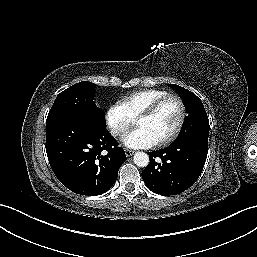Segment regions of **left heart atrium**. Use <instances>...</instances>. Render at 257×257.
<instances>
[{
	"instance_id": "obj_1",
	"label": "left heart atrium",
	"mask_w": 257,
	"mask_h": 257,
	"mask_svg": "<svg viewBox=\"0 0 257 257\" xmlns=\"http://www.w3.org/2000/svg\"><path fill=\"white\" fill-rule=\"evenodd\" d=\"M123 143L129 148H150L157 144L156 139L144 128H137L123 138Z\"/></svg>"
}]
</instances>
